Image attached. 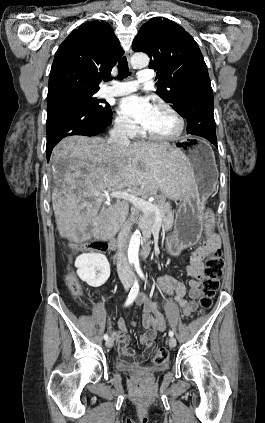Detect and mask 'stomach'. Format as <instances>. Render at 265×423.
Segmentation results:
<instances>
[{
  "mask_svg": "<svg viewBox=\"0 0 265 423\" xmlns=\"http://www.w3.org/2000/svg\"><path fill=\"white\" fill-rule=\"evenodd\" d=\"M171 148L181 157L185 178V192L167 241L169 253L177 256L182 249L199 240L203 226V199L212 191L216 164L212 148L203 139L184 137Z\"/></svg>",
  "mask_w": 265,
  "mask_h": 423,
  "instance_id": "obj_1",
  "label": "stomach"
}]
</instances>
